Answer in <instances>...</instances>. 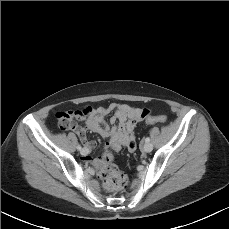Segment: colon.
I'll return each mask as SVG.
<instances>
[{
    "instance_id": "1",
    "label": "colon",
    "mask_w": 229,
    "mask_h": 229,
    "mask_svg": "<svg viewBox=\"0 0 229 229\" xmlns=\"http://www.w3.org/2000/svg\"><path fill=\"white\" fill-rule=\"evenodd\" d=\"M149 110L147 108L141 109L140 117L146 118V122L149 124L160 123L166 121V116L156 115L148 117ZM76 114L75 112H68L60 115L61 128L63 130L72 129L76 126ZM100 176L103 180L105 188L110 192H118L125 188L128 183V176L126 173L119 170L109 160L103 164Z\"/></svg>"
}]
</instances>
